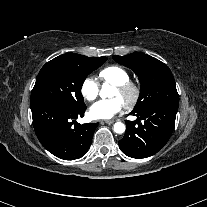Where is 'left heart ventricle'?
<instances>
[{
  "instance_id": "b2bd125f",
  "label": "left heart ventricle",
  "mask_w": 207,
  "mask_h": 207,
  "mask_svg": "<svg viewBox=\"0 0 207 207\" xmlns=\"http://www.w3.org/2000/svg\"><path fill=\"white\" fill-rule=\"evenodd\" d=\"M113 96H114V97L119 96V93H118V91H117V90H115V92H114Z\"/></svg>"
}]
</instances>
